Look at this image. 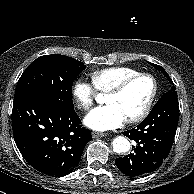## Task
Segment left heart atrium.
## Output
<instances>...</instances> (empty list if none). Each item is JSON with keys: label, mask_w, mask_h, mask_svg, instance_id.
<instances>
[{"label": "left heart atrium", "mask_w": 194, "mask_h": 194, "mask_svg": "<svg viewBox=\"0 0 194 194\" xmlns=\"http://www.w3.org/2000/svg\"><path fill=\"white\" fill-rule=\"evenodd\" d=\"M125 121L122 113L111 104L91 110L84 119L85 125L96 131L118 128Z\"/></svg>", "instance_id": "obj_1"}]
</instances>
